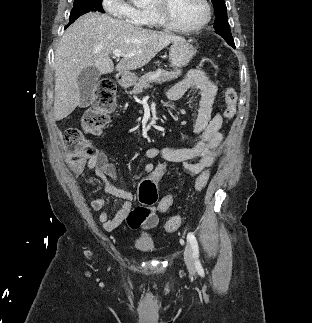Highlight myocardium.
<instances>
[{
	"mask_svg": "<svg viewBox=\"0 0 312 323\" xmlns=\"http://www.w3.org/2000/svg\"><path fill=\"white\" fill-rule=\"evenodd\" d=\"M157 13L159 21L163 25H169V31H204V27L211 21L214 12L213 5L209 0H198L203 13L199 20H173L167 9L168 0H159Z\"/></svg>",
	"mask_w": 312,
	"mask_h": 323,
	"instance_id": "myocardium-1",
	"label": "myocardium"
}]
</instances>
